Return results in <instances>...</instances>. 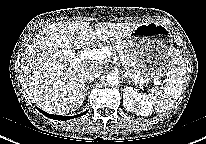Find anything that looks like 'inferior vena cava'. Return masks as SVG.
Returning <instances> with one entry per match:
<instances>
[{
  "label": "inferior vena cava",
  "mask_w": 206,
  "mask_h": 144,
  "mask_svg": "<svg viewBox=\"0 0 206 144\" xmlns=\"http://www.w3.org/2000/svg\"><path fill=\"white\" fill-rule=\"evenodd\" d=\"M102 67L96 64H92L88 67L86 71V79L89 81L98 78L101 75Z\"/></svg>",
  "instance_id": "inferior-vena-cava-1"
}]
</instances>
